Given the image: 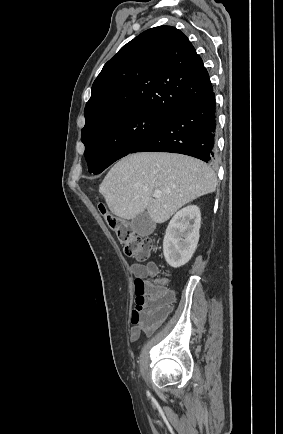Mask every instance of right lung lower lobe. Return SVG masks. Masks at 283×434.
<instances>
[{"label": "right lung lower lobe", "mask_w": 283, "mask_h": 434, "mask_svg": "<svg viewBox=\"0 0 283 434\" xmlns=\"http://www.w3.org/2000/svg\"><path fill=\"white\" fill-rule=\"evenodd\" d=\"M216 106L213 91L183 107L130 153L171 152L215 159Z\"/></svg>", "instance_id": "98d812e1"}]
</instances>
